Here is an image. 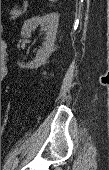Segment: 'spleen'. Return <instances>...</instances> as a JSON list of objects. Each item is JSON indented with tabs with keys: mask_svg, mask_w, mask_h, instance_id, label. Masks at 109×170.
Masks as SVG:
<instances>
[{
	"mask_svg": "<svg viewBox=\"0 0 109 170\" xmlns=\"http://www.w3.org/2000/svg\"><path fill=\"white\" fill-rule=\"evenodd\" d=\"M49 1H51V2H56L57 0H49Z\"/></svg>",
	"mask_w": 109,
	"mask_h": 170,
	"instance_id": "spleen-1",
	"label": "spleen"
}]
</instances>
